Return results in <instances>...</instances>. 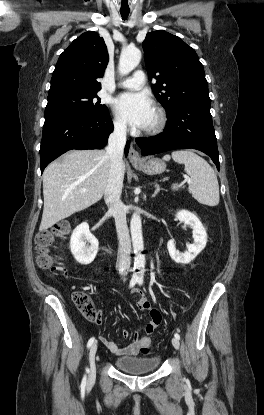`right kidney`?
<instances>
[{
  "label": "right kidney",
  "mask_w": 264,
  "mask_h": 415,
  "mask_svg": "<svg viewBox=\"0 0 264 415\" xmlns=\"http://www.w3.org/2000/svg\"><path fill=\"white\" fill-rule=\"evenodd\" d=\"M98 246V240L92 235L86 222L74 229L70 239V248L78 263L82 265L92 263L97 255Z\"/></svg>",
  "instance_id": "obj_1"
}]
</instances>
